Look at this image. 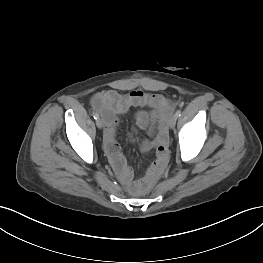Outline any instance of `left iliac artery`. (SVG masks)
Returning a JSON list of instances; mask_svg holds the SVG:
<instances>
[{"instance_id":"left-iliac-artery-1","label":"left iliac artery","mask_w":263,"mask_h":263,"mask_svg":"<svg viewBox=\"0 0 263 263\" xmlns=\"http://www.w3.org/2000/svg\"><path fill=\"white\" fill-rule=\"evenodd\" d=\"M176 117H180L181 116V110H177L176 113H175Z\"/></svg>"}]
</instances>
